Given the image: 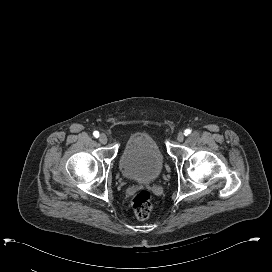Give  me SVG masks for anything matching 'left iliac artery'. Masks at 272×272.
Masks as SVG:
<instances>
[{"mask_svg": "<svg viewBox=\"0 0 272 272\" xmlns=\"http://www.w3.org/2000/svg\"><path fill=\"white\" fill-rule=\"evenodd\" d=\"M191 133V130L190 129H186L185 130V135H189Z\"/></svg>", "mask_w": 272, "mask_h": 272, "instance_id": "1", "label": "left iliac artery"}]
</instances>
